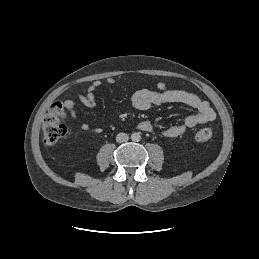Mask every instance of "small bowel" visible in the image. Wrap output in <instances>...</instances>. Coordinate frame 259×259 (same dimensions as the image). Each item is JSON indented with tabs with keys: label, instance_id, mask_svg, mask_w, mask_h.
<instances>
[{
	"label": "small bowel",
	"instance_id": "c3829d8e",
	"mask_svg": "<svg viewBox=\"0 0 259 259\" xmlns=\"http://www.w3.org/2000/svg\"><path fill=\"white\" fill-rule=\"evenodd\" d=\"M115 80L108 77L105 80L107 85H113ZM102 82L94 81L85 93L79 95L80 102L88 107L93 108L96 105L95 92L101 86ZM158 90L142 89L132 96V105L135 109L145 111L153 106H159L165 103H181L196 109V113L188 115L183 122L172 125L164 129L161 134L164 137L175 138L184 134L187 129L193 128L199 124H204L215 119V112L206 100H202L196 94L177 89H169L165 83L157 84ZM65 108L70 112L73 118H77L74 103L71 100L65 102ZM81 128L85 131L100 132L99 127H92L88 123H83ZM139 130L153 132L154 126L149 121H141L137 124Z\"/></svg>",
	"mask_w": 259,
	"mask_h": 259
}]
</instances>
